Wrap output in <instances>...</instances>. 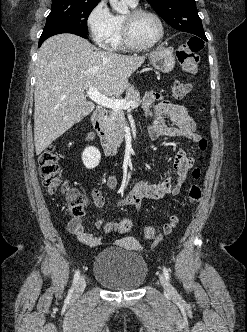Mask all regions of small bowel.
I'll return each instance as SVG.
<instances>
[{
	"label": "small bowel",
	"mask_w": 247,
	"mask_h": 332,
	"mask_svg": "<svg viewBox=\"0 0 247 332\" xmlns=\"http://www.w3.org/2000/svg\"><path fill=\"white\" fill-rule=\"evenodd\" d=\"M142 106L145 114L152 119L148 127V132L152 139L164 136L186 139L193 143L200 141L201 136L197 133V124L184 106L163 99L155 91H149L144 95ZM166 119L170 120L172 125H168ZM92 138L93 135H90L89 139ZM193 163V157L189 156L184 149H178L173 160V168L176 173L175 180L168 177L158 183H152L147 180L138 181L130 191L119 196L117 205L139 209L144 199L158 200L167 196L178 195ZM106 184L111 191L115 192L117 190L118 181L114 175L107 177ZM83 199L86 205L95 208H102L105 204L104 197L98 189L93 190L91 199L86 196H83ZM102 225V219L95 222L96 228ZM68 230L80 242L90 247L98 246L102 242L101 237L85 230L83 221L80 218L72 219L68 223Z\"/></svg>",
	"instance_id": "small-bowel-1"
}]
</instances>
